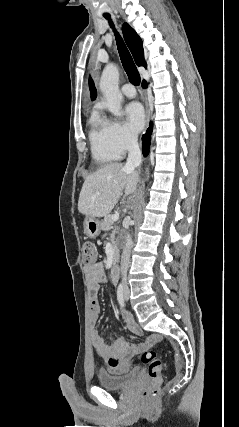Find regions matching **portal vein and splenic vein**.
Segmentation results:
<instances>
[{"instance_id":"obj_1","label":"portal vein and splenic vein","mask_w":239,"mask_h":427,"mask_svg":"<svg viewBox=\"0 0 239 427\" xmlns=\"http://www.w3.org/2000/svg\"><path fill=\"white\" fill-rule=\"evenodd\" d=\"M111 220L112 221H118L119 220V215L118 214H114L111 216Z\"/></svg>"}]
</instances>
